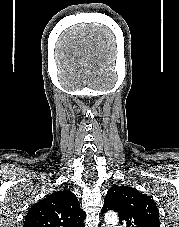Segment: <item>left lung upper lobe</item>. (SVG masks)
I'll return each mask as SVG.
<instances>
[{"label":"left lung upper lobe","instance_id":"1","mask_svg":"<svg viewBox=\"0 0 179 227\" xmlns=\"http://www.w3.org/2000/svg\"><path fill=\"white\" fill-rule=\"evenodd\" d=\"M109 210L118 212L119 223L127 227H160L154 201L131 187L114 185L108 190L101 212Z\"/></svg>","mask_w":179,"mask_h":227}]
</instances>
